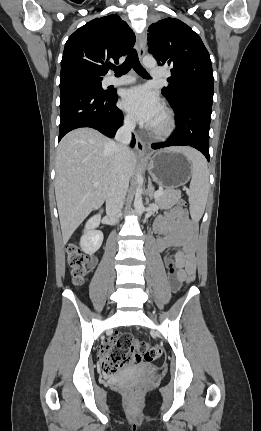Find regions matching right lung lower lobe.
Instances as JSON below:
<instances>
[{"label":"right lung lower lobe","instance_id":"1","mask_svg":"<svg viewBox=\"0 0 261 431\" xmlns=\"http://www.w3.org/2000/svg\"><path fill=\"white\" fill-rule=\"evenodd\" d=\"M118 96L98 92L83 82L60 83V132L58 141L69 131L81 127L94 128L114 137L123 124L122 112L116 107ZM131 145H135L133 136Z\"/></svg>","mask_w":261,"mask_h":431}]
</instances>
